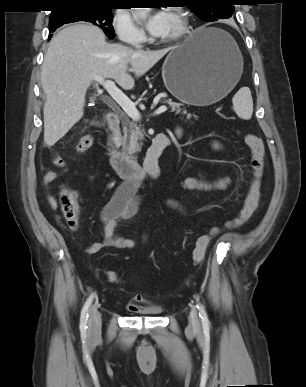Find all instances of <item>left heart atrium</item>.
Listing matches in <instances>:
<instances>
[{
    "label": "left heart atrium",
    "mask_w": 306,
    "mask_h": 387,
    "mask_svg": "<svg viewBox=\"0 0 306 387\" xmlns=\"http://www.w3.org/2000/svg\"><path fill=\"white\" fill-rule=\"evenodd\" d=\"M146 28L154 37H165L169 29L168 12L159 11L151 15L146 21Z\"/></svg>",
    "instance_id": "left-heart-atrium-1"
}]
</instances>
